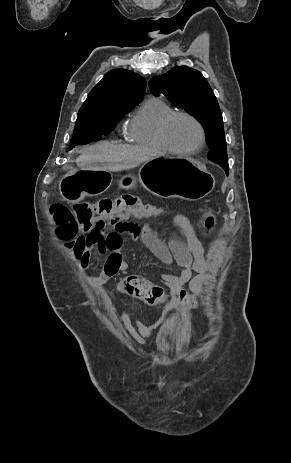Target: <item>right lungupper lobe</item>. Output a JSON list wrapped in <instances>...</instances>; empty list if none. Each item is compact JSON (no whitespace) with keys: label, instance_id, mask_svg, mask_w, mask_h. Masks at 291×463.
<instances>
[{"label":"right lung upper lobe","instance_id":"1","mask_svg":"<svg viewBox=\"0 0 291 463\" xmlns=\"http://www.w3.org/2000/svg\"><path fill=\"white\" fill-rule=\"evenodd\" d=\"M146 80L125 69H114L90 91L80 110L94 109L103 105H137L145 91Z\"/></svg>","mask_w":291,"mask_h":463}]
</instances>
